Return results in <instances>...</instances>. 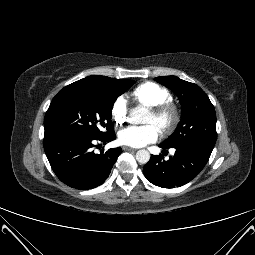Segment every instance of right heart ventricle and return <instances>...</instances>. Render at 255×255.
Masks as SVG:
<instances>
[{
    "instance_id": "obj_1",
    "label": "right heart ventricle",
    "mask_w": 255,
    "mask_h": 255,
    "mask_svg": "<svg viewBox=\"0 0 255 255\" xmlns=\"http://www.w3.org/2000/svg\"><path fill=\"white\" fill-rule=\"evenodd\" d=\"M130 96L136 103L144 106H153L172 100L169 90L155 82L139 84L132 90Z\"/></svg>"
}]
</instances>
